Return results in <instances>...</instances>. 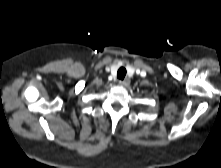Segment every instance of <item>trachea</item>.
<instances>
[{"mask_svg": "<svg viewBox=\"0 0 221 168\" xmlns=\"http://www.w3.org/2000/svg\"><path fill=\"white\" fill-rule=\"evenodd\" d=\"M125 75H126V69L124 67L119 68L117 72V78L123 80Z\"/></svg>", "mask_w": 221, "mask_h": 168, "instance_id": "1", "label": "trachea"}]
</instances>
